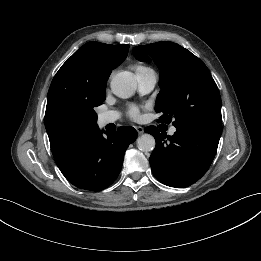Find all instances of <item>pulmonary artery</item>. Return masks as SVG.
<instances>
[{
    "instance_id": "obj_1",
    "label": "pulmonary artery",
    "mask_w": 261,
    "mask_h": 261,
    "mask_svg": "<svg viewBox=\"0 0 261 261\" xmlns=\"http://www.w3.org/2000/svg\"><path fill=\"white\" fill-rule=\"evenodd\" d=\"M137 81L139 83V87L143 92H150L157 81V76L155 72H149L146 74L138 75ZM120 118V114L117 111H106L101 113L98 117V122L102 126H106L110 123L116 122ZM176 131L175 127H171L169 133L173 135Z\"/></svg>"
}]
</instances>
